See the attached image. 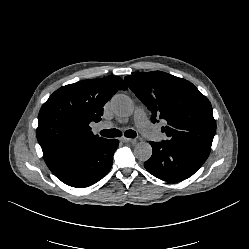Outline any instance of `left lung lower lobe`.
Wrapping results in <instances>:
<instances>
[{
    "mask_svg": "<svg viewBox=\"0 0 249 249\" xmlns=\"http://www.w3.org/2000/svg\"><path fill=\"white\" fill-rule=\"evenodd\" d=\"M153 153L144 163L146 170L168 182H179L192 176L208 158L209 153L189 147L150 142Z\"/></svg>",
    "mask_w": 249,
    "mask_h": 249,
    "instance_id": "0a47b994",
    "label": "left lung lower lobe"
}]
</instances>
